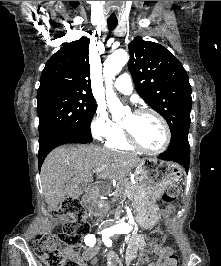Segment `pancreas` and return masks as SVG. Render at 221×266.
I'll list each match as a JSON object with an SVG mask.
<instances>
[{
  "label": "pancreas",
  "mask_w": 221,
  "mask_h": 266,
  "mask_svg": "<svg viewBox=\"0 0 221 266\" xmlns=\"http://www.w3.org/2000/svg\"><path fill=\"white\" fill-rule=\"evenodd\" d=\"M136 190V185L130 179H123L118 183L113 193L114 201L123 202L126 197L132 198Z\"/></svg>",
  "instance_id": "1"
}]
</instances>
